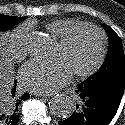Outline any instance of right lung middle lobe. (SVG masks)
Listing matches in <instances>:
<instances>
[{
	"mask_svg": "<svg viewBox=\"0 0 125 125\" xmlns=\"http://www.w3.org/2000/svg\"><path fill=\"white\" fill-rule=\"evenodd\" d=\"M25 19L26 17L7 16L0 14V30L7 31ZM13 102V95H10L9 99H7L5 102V105L2 107L10 106L13 104Z\"/></svg>",
	"mask_w": 125,
	"mask_h": 125,
	"instance_id": "obj_1",
	"label": "right lung middle lobe"
}]
</instances>
